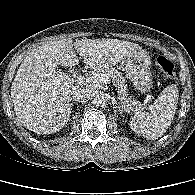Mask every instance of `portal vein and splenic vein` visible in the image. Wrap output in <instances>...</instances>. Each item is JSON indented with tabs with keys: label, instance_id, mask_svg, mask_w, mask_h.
<instances>
[{
	"label": "portal vein and splenic vein",
	"instance_id": "18ae733b",
	"mask_svg": "<svg viewBox=\"0 0 195 195\" xmlns=\"http://www.w3.org/2000/svg\"><path fill=\"white\" fill-rule=\"evenodd\" d=\"M88 81L93 85L108 84L110 82V78L108 76H105L104 74H102L101 76H99V77L95 76V77L89 79Z\"/></svg>",
	"mask_w": 195,
	"mask_h": 195
}]
</instances>
